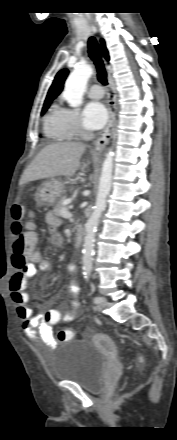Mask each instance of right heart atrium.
I'll return each mask as SVG.
<instances>
[{
	"label": "right heart atrium",
	"instance_id": "d8ad5b80",
	"mask_svg": "<svg viewBox=\"0 0 177 440\" xmlns=\"http://www.w3.org/2000/svg\"><path fill=\"white\" fill-rule=\"evenodd\" d=\"M57 111L61 128L68 138L80 136L85 132L78 109L60 106L57 107Z\"/></svg>",
	"mask_w": 177,
	"mask_h": 440
}]
</instances>
